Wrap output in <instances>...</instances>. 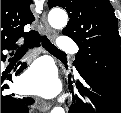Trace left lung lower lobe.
<instances>
[{
	"label": "left lung lower lobe",
	"mask_w": 121,
	"mask_h": 113,
	"mask_svg": "<svg viewBox=\"0 0 121 113\" xmlns=\"http://www.w3.org/2000/svg\"><path fill=\"white\" fill-rule=\"evenodd\" d=\"M80 76L76 80L69 75V88L73 94V80L78 93L76 105L70 107L69 113H121V91L95 75L82 73Z\"/></svg>",
	"instance_id": "1"
}]
</instances>
